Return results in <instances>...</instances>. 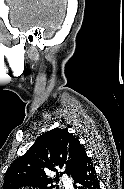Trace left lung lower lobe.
Here are the masks:
<instances>
[{
	"instance_id": "obj_1",
	"label": "left lung lower lobe",
	"mask_w": 124,
	"mask_h": 189,
	"mask_svg": "<svg viewBox=\"0 0 124 189\" xmlns=\"http://www.w3.org/2000/svg\"><path fill=\"white\" fill-rule=\"evenodd\" d=\"M75 189H100L95 164L87 157L73 176Z\"/></svg>"
}]
</instances>
